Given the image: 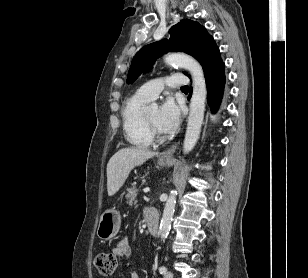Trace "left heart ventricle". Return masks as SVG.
Wrapping results in <instances>:
<instances>
[{
    "label": "left heart ventricle",
    "mask_w": 308,
    "mask_h": 278,
    "mask_svg": "<svg viewBox=\"0 0 308 278\" xmlns=\"http://www.w3.org/2000/svg\"><path fill=\"white\" fill-rule=\"evenodd\" d=\"M146 114L150 122L158 128L159 110L157 109L149 110Z\"/></svg>",
    "instance_id": "obj_1"
}]
</instances>
